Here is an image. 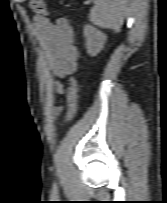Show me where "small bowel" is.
<instances>
[{
  "label": "small bowel",
  "instance_id": "small-bowel-1",
  "mask_svg": "<svg viewBox=\"0 0 167 203\" xmlns=\"http://www.w3.org/2000/svg\"><path fill=\"white\" fill-rule=\"evenodd\" d=\"M34 27L41 39L49 66L57 79L56 90L62 94L65 92V86L59 80L74 74L78 66L79 53L73 44V29L65 18L53 23L48 18L37 17ZM60 111L61 107H57L55 115Z\"/></svg>",
  "mask_w": 167,
  "mask_h": 203
}]
</instances>
